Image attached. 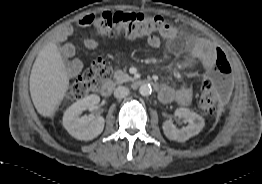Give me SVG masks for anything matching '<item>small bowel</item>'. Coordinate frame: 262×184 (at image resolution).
I'll return each mask as SVG.
<instances>
[{
	"mask_svg": "<svg viewBox=\"0 0 262 184\" xmlns=\"http://www.w3.org/2000/svg\"><path fill=\"white\" fill-rule=\"evenodd\" d=\"M71 32V27H66L62 32L61 38L64 39ZM178 32L174 27L167 26L159 34L147 37L146 43L149 47L157 49L161 46V38L173 41L177 38ZM84 45L88 49H94L99 45V42L92 38L84 40ZM184 45L189 55L199 60L202 63L203 71L200 74L193 75L194 78H201L207 80L211 77L214 70L217 69L218 62L216 59L217 49L209 42L202 39L185 37ZM62 53L66 58H70L74 54V47L71 43L64 44ZM81 61L73 59L70 61L68 69L70 76H76L82 69ZM158 96L163 103L176 102L179 105L187 106L192 102L193 87L186 86L179 89H174L169 85H160L158 89Z\"/></svg>",
	"mask_w": 262,
	"mask_h": 184,
	"instance_id": "small-bowel-1",
	"label": "small bowel"
}]
</instances>
